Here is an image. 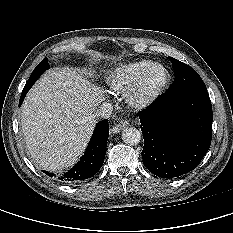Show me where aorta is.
<instances>
[{
  "instance_id": "762f6f07",
  "label": "aorta",
  "mask_w": 233,
  "mask_h": 233,
  "mask_svg": "<svg viewBox=\"0 0 233 233\" xmlns=\"http://www.w3.org/2000/svg\"><path fill=\"white\" fill-rule=\"evenodd\" d=\"M122 140L127 145H137L141 141V132L133 127H128L122 131Z\"/></svg>"
}]
</instances>
